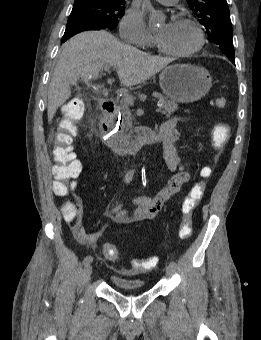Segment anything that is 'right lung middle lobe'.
<instances>
[{
	"label": "right lung middle lobe",
	"instance_id": "1",
	"mask_svg": "<svg viewBox=\"0 0 261 340\" xmlns=\"http://www.w3.org/2000/svg\"><path fill=\"white\" fill-rule=\"evenodd\" d=\"M125 2L83 1L74 3L68 22L88 20L102 28L114 29L124 15Z\"/></svg>",
	"mask_w": 261,
	"mask_h": 340
}]
</instances>
